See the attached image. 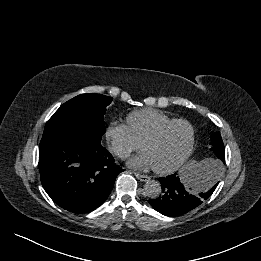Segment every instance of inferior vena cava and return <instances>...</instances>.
Returning a JSON list of instances; mask_svg holds the SVG:
<instances>
[{
    "label": "inferior vena cava",
    "instance_id": "1",
    "mask_svg": "<svg viewBox=\"0 0 261 261\" xmlns=\"http://www.w3.org/2000/svg\"><path fill=\"white\" fill-rule=\"evenodd\" d=\"M120 155L121 156H127V152L126 151H122V152H120Z\"/></svg>",
    "mask_w": 261,
    "mask_h": 261
}]
</instances>
